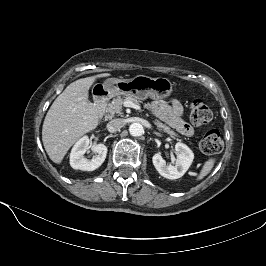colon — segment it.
Returning <instances> with one entry per match:
<instances>
[{"label":"colon","mask_w":266,"mask_h":266,"mask_svg":"<svg viewBox=\"0 0 266 266\" xmlns=\"http://www.w3.org/2000/svg\"><path fill=\"white\" fill-rule=\"evenodd\" d=\"M190 119L195 126L206 125L212 120V112L203 101L197 99L191 103ZM199 146L204 154L213 155L219 153L223 148V141L219 131L216 129L207 131L202 137Z\"/></svg>","instance_id":"obj_1"}]
</instances>
